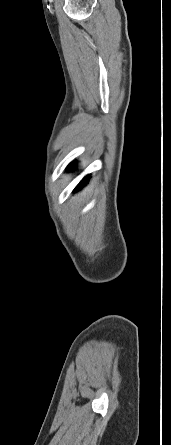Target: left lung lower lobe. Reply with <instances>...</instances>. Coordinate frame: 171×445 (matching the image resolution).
Instances as JSON below:
<instances>
[{"label": "left lung lower lobe", "mask_w": 171, "mask_h": 445, "mask_svg": "<svg viewBox=\"0 0 171 445\" xmlns=\"http://www.w3.org/2000/svg\"><path fill=\"white\" fill-rule=\"evenodd\" d=\"M73 167V164L71 166H69V168L71 169ZM87 183V177H85L80 184L76 187V189H80L82 186L86 185Z\"/></svg>", "instance_id": "left-lung-lower-lobe-1"}]
</instances>
